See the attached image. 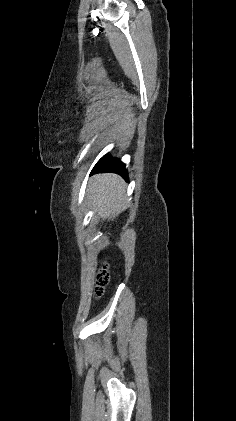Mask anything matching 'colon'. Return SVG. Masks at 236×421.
I'll return each instance as SVG.
<instances>
[{
  "mask_svg": "<svg viewBox=\"0 0 236 421\" xmlns=\"http://www.w3.org/2000/svg\"><path fill=\"white\" fill-rule=\"evenodd\" d=\"M108 282H109L108 266L104 265L97 275L96 288H95L96 297L102 296L104 288L108 284Z\"/></svg>",
  "mask_w": 236,
  "mask_h": 421,
  "instance_id": "obj_1",
  "label": "colon"
}]
</instances>
